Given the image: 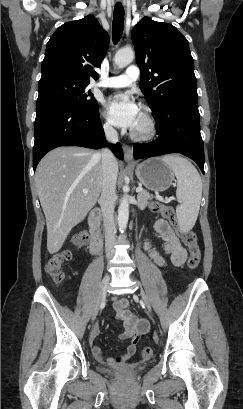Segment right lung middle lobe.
<instances>
[{
  "instance_id": "1",
  "label": "right lung middle lobe",
  "mask_w": 243,
  "mask_h": 409,
  "mask_svg": "<svg viewBox=\"0 0 243 409\" xmlns=\"http://www.w3.org/2000/svg\"><path fill=\"white\" fill-rule=\"evenodd\" d=\"M88 84L63 77L53 76L39 81V96L36 110L51 105L69 106L80 110L97 107L94 96L87 92Z\"/></svg>"
}]
</instances>
